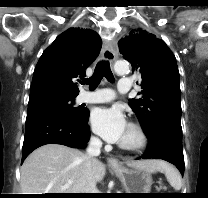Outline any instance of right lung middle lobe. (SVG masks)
Here are the masks:
<instances>
[{"instance_id": "1", "label": "right lung middle lobe", "mask_w": 208, "mask_h": 198, "mask_svg": "<svg viewBox=\"0 0 208 198\" xmlns=\"http://www.w3.org/2000/svg\"><path fill=\"white\" fill-rule=\"evenodd\" d=\"M73 100L74 98L54 100L28 107L27 119L44 113H62L78 119H83L87 115V110L74 107Z\"/></svg>"}]
</instances>
